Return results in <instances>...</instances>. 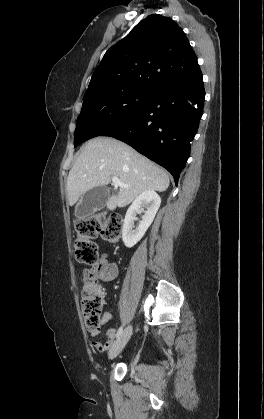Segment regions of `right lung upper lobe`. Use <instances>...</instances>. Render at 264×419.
I'll return each instance as SVG.
<instances>
[{"label":"right lung upper lobe","mask_w":264,"mask_h":419,"mask_svg":"<svg viewBox=\"0 0 264 419\" xmlns=\"http://www.w3.org/2000/svg\"><path fill=\"white\" fill-rule=\"evenodd\" d=\"M201 76L183 30L171 18L152 14L105 53L84 96L126 88L154 92L193 83Z\"/></svg>","instance_id":"cb5924a9"}]
</instances>
